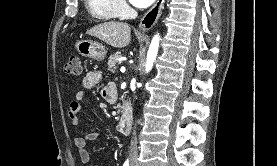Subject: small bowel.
I'll list each match as a JSON object with an SVG mask.
<instances>
[{
  "instance_id": "c3829d8e",
  "label": "small bowel",
  "mask_w": 277,
  "mask_h": 166,
  "mask_svg": "<svg viewBox=\"0 0 277 166\" xmlns=\"http://www.w3.org/2000/svg\"><path fill=\"white\" fill-rule=\"evenodd\" d=\"M101 80V74L98 71H89L83 77L82 85L83 90L76 93L75 98L71 101L68 111V116L72 127L78 128L80 124L79 112L82 107V101L87 91L93 89ZM102 98L108 102L113 103L116 100L117 91L113 84H108L101 90ZM99 131H91L84 136H78L74 139V146L77 150L80 161L83 164H88L90 161V155L87 150V142L94 141L100 137Z\"/></svg>"
}]
</instances>
